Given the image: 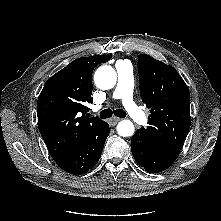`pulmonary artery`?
Returning a JSON list of instances; mask_svg holds the SVG:
<instances>
[{
    "label": "pulmonary artery",
    "instance_id": "obj_1",
    "mask_svg": "<svg viewBox=\"0 0 221 221\" xmlns=\"http://www.w3.org/2000/svg\"><path fill=\"white\" fill-rule=\"evenodd\" d=\"M118 82L114 90V97L121 100L128 115L138 124L145 125L148 122L147 115L137 106L133 99V70L127 61L116 64ZM100 108V106H96Z\"/></svg>",
    "mask_w": 221,
    "mask_h": 221
}]
</instances>
